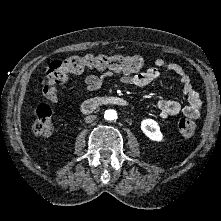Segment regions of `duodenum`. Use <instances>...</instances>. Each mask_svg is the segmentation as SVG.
Segmentation results:
<instances>
[{"mask_svg":"<svg viewBox=\"0 0 221 221\" xmlns=\"http://www.w3.org/2000/svg\"><path fill=\"white\" fill-rule=\"evenodd\" d=\"M129 101L119 96H102L86 100L82 105V111L86 114H90L98 109H101L108 105H117L127 107Z\"/></svg>","mask_w":221,"mask_h":221,"instance_id":"1","label":"duodenum"}]
</instances>
